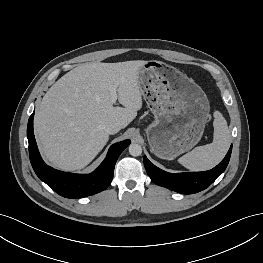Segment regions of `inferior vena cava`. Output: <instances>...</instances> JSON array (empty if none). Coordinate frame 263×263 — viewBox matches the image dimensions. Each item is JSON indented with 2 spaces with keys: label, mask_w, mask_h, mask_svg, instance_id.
<instances>
[{
  "label": "inferior vena cava",
  "mask_w": 263,
  "mask_h": 263,
  "mask_svg": "<svg viewBox=\"0 0 263 263\" xmlns=\"http://www.w3.org/2000/svg\"><path fill=\"white\" fill-rule=\"evenodd\" d=\"M121 124L118 122H111L105 126V131L108 134H115L121 130Z\"/></svg>",
  "instance_id": "602c4592"
}]
</instances>
